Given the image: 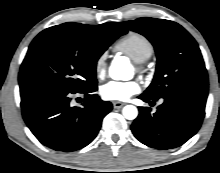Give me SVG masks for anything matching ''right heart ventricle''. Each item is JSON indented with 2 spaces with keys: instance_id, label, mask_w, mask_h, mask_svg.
Listing matches in <instances>:
<instances>
[{
  "instance_id": "1",
  "label": "right heart ventricle",
  "mask_w": 220,
  "mask_h": 173,
  "mask_svg": "<svg viewBox=\"0 0 220 173\" xmlns=\"http://www.w3.org/2000/svg\"><path fill=\"white\" fill-rule=\"evenodd\" d=\"M115 50L129 56L136 63H142L150 58L154 48L144 35L131 32L115 45Z\"/></svg>"
}]
</instances>
